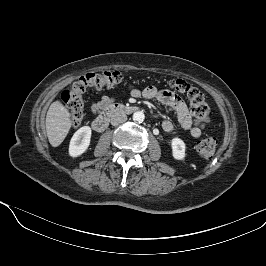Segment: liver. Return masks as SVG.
<instances>
[{
  "mask_svg": "<svg viewBox=\"0 0 266 266\" xmlns=\"http://www.w3.org/2000/svg\"><path fill=\"white\" fill-rule=\"evenodd\" d=\"M72 121L68 109L59 101L53 102L47 112L45 127L49 143L59 146L67 136Z\"/></svg>",
  "mask_w": 266,
  "mask_h": 266,
  "instance_id": "liver-1",
  "label": "liver"
}]
</instances>
